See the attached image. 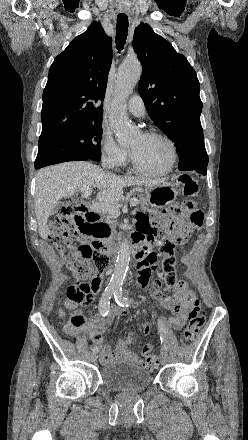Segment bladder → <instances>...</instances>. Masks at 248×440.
<instances>
[{"instance_id":"1","label":"bladder","mask_w":248,"mask_h":440,"mask_svg":"<svg viewBox=\"0 0 248 440\" xmlns=\"http://www.w3.org/2000/svg\"><path fill=\"white\" fill-rule=\"evenodd\" d=\"M100 378L107 388L119 392L145 390L152 382V374L147 367L128 360L104 364Z\"/></svg>"}]
</instances>
